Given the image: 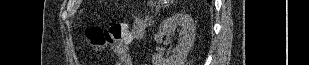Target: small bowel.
Returning <instances> with one entry per match:
<instances>
[{
  "instance_id": "obj_1",
  "label": "small bowel",
  "mask_w": 309,
  "mask_h": 65,
  "mask_svg": "<svg viewBox=\"0 0 309 65\" xmlns=\"http://www.w3.org/2000/svg\"><path fill=\"white\" fill-rule=\"evenodd\" d=\"M145 32V23L142 19H135L133 27L123 38L113 46V53L117 59V65H133L129 46L142 38Z\"/></svg>"
}]
</instances>
